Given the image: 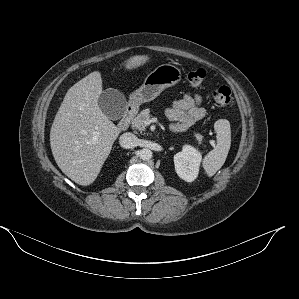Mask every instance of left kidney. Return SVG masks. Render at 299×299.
I'll use <instances>...</instances> for the list:
<instances>
[{
  "label": "left kidney",
  "instance_id": "5707ae66",
  "mask_svg": "<svg viewBox=\"0 0 299 299\" xmlns=\"http://www.w3.org/2000/svg\"><path fill=\"white\" fill-rule=\"evenodd\" d=\"M201 160L202 155L196 148L184 145L182 151L174 155L177 175L186 182L194 181L198 176Z\"/></svg>",
  "mask_w": 299,
  "mask_h": 299
}]
</instances>
